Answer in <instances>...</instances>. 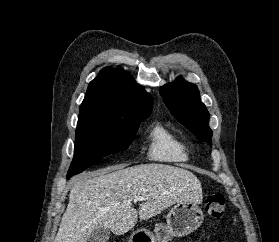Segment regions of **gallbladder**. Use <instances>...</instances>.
<instances>
[{"label": "gallbladder", "instance_id": "1", "mask_svg": "<svg viewBox=\"0 0 279 242\" xmlns=\"http://www.w3.org/2000/svg\"><path fill=\"white\" fill-rule=\"evenodd\" d=\"M110 237V231L104 227H99L94 230L89 238L88 242H106Z\"/></svg>", "mask_w": 279, "mask_h": 242}]
</instances>
